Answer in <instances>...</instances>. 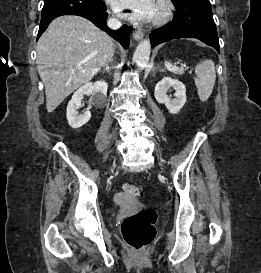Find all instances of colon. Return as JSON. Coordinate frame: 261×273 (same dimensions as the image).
Returning a JSON list of instances; mask_svg holds the SVG:
<instances>
[{
  "label": "colon",
  "mask_w": 261,
  "mask_h": 273,
  "mask_svg": "<svg viewBox=\"0 0 261 273\" xmlns=\"http://www.w3.org/2000/svg\"><path fill=\"white\" fill-rule=\"evenodd\" d=\"M123 192L127 196L135 197L140 194L141 190L137 185L125 184ZM156 219V212L153 209L146 208L126 217L122 221L121 234L131 249L140 252L152 243L156 235Z\"/></svg>",
  "instance_id": "1"
}]
</instances>
